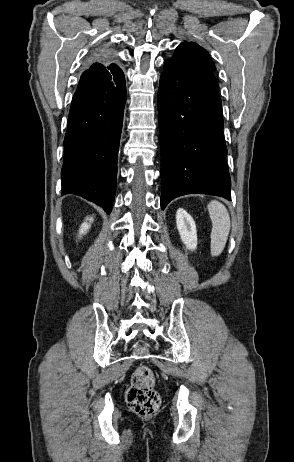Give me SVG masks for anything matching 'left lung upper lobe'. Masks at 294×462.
<instances>
[{"label":"left lung upper lobe","instance_id":"1","mask_svg":"<svg viewBox=\"0 0 294 462\" xmlns=\"http://www.w3.org/2000/svg\"><path fill=\"white\" fill-rule=\"evenodd\" d=\"M172 59L208 72H213L216 69L206 50L194 42L180 44Z\"/></svg>","mask_w":294,"mask_h":462}]
</instances>
